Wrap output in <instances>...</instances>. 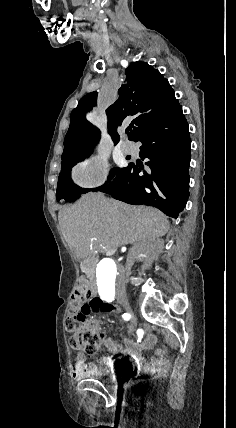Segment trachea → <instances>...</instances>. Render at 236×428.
<instances>
[{
    "instance_id": "trachea-1",
    "label": "trachea",
    "mask_w": 236,
    "mask_h": 428,
    "mask_svg": "<svg viewBox=\"0 0 236 428\" xmlns=\"http://www.w3.org/2000/svg\"><path fill=\"white\" fill-rule=\"evenodd\" d=\"M129 130H131V128H128V129L126 130V133H129Z\"/></svg>"
}]
</instances>
